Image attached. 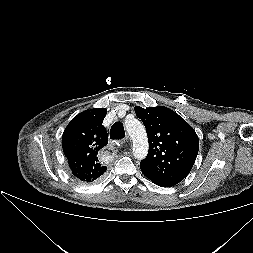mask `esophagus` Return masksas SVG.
Masks as SVG:
<instances>
[{
	"instance_id": "34e87169",
	"label": "esophagus",
	"mask_w": 253,
	"mask_h": 253,
	"mask_svg": "<svg viewBox=\"0 0 253 253\" xmlns=\"http://www.w3.org/2000/svg\"><path fill=\"white\" fill-rule=\"evenodd\" d=\"M125 141H126V142H128V141H129V136H126Z\"/></svg>"
}]
</instances>
